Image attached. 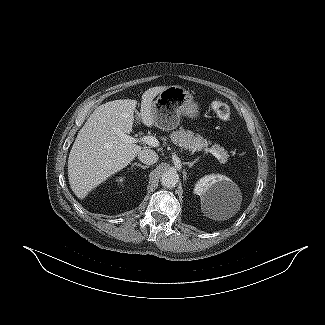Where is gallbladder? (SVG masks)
Instances as JSON below:
<instances>
[{"mask_svg":"<svg viewBox=\"0 0 325 325\" xmlns=\"http://www.w3.org/2000/svg\"><path fill=\"white\" fill-rule=\"evenodd\" d=\"M139 120H140L139 116L138 115H135V121L136 122H139Z\"/></svg>","mask_w":325,"mask_h":325,"instance_id":"obj_1","label":"gallbladder"}]
</instances>
